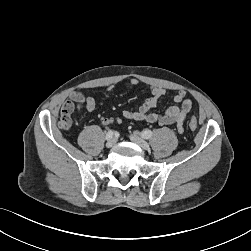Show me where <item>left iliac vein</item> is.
<instances>
[{"label":"left iliac vein","instance_id":"obj_1","mask_svg":"<svg viewBox=\"0 0 251 251\" xmlns=\"http://www.w3.org/2000/svg\"><path fill=\"white\" fill-rule=\"evenodd\" d=\"M130 140L144 150L149 149V144L144 139L137 136L136 134L130 135Z\"/></svg>","mask_w":251,"mask_h":251}]
</instances>
